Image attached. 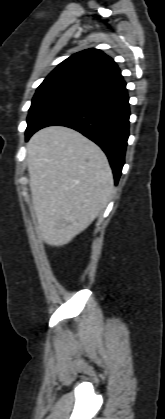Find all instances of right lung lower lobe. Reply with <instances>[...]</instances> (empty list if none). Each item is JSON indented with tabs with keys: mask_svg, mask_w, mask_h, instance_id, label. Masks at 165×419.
I'll list each match as a JSON object with an SVG mask.
<instances>
[{
	"mask_svg": "<svg viewBox=\"0 0 165 419\" xmlns=\"http://www.w3.org/2000/svg\"><path fill=\"white\" fill-rule=\"evenodd\" d=\"M129 98L126 83L120 80L110 86L82 95L45 116L30 132L51 125L73 128L97 143L106 153L118 183L124 165L129 136Z\"/></svg>",
	"mask_w": 165,
	"mask_h": 419,
	"instance_id": "1",
	"label": "right lung lower lobe"
}]
</instances>
